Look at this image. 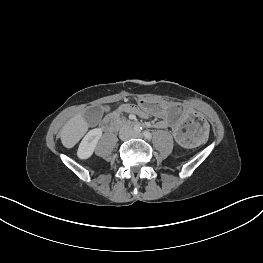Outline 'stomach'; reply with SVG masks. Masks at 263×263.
<instances>
[{
  "label": "stomach",
  "mask_w": 263,
  "mask_h": 263,
  "mask_svg": "<svg viewBox=\"0 0 263 263\" xmlns=\"http://www.w3.org/2000/svg\"><path fill=\"white\" fill-rule=\"evenodd\" d=\"M139 105L143 106L146 116L158 119L161 125L172 131L174 140L187 149H195L208 136L207 118L194 114L180 103L140 99Z\"/></svg>",
  "instance_id": "obj_1"
}]
</instances>
